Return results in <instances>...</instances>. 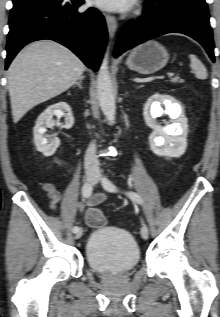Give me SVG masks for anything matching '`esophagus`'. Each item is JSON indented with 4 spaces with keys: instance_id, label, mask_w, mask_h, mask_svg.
<instances>
[{
    "instance_id": "obj_1",
    "label": "esophagus",
    "mask_w": 220,
    "mask_h": 317,
    "mask_svg": "<svg viewBox=\"0 0 220 317\" xmlns=\"http://www.w3.org/2000/svg\"><path fill=\"white\" fill-rule=\"evenodd\" d=\"M105 20H106L109 35L111 38H113L117 30V20L114 16H111V15H105Z\"/></svg>"
}]
</instances>
